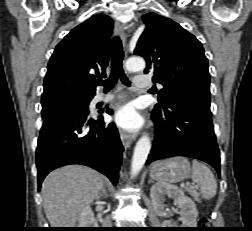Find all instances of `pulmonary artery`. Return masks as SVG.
Returning a JSON list of instances; mask_svg holds the SVG:
<instances>
[{
    "label": "pulmonary artery",
    "instance_id": "pulmonary-artery-1",
    "mask_svg": "<svg viewBox=\"0 0 252 231\" xmlns=\"http://www.w3.org/2000/svg\"><path fill=\"white\" fill-rule=\"evenodd\" d=\"M134 83L136 87L140 89H147L154 86L153 81L147 75H144V74L137 75L134 79ZM113 99H114L113 94H107V95L98 94L95 97L94 102L95 103H98V102L108 103L112 101Z\"/></svg>",
    "mask_w": 252,
    "mask_h": 231
}]
</instances>
